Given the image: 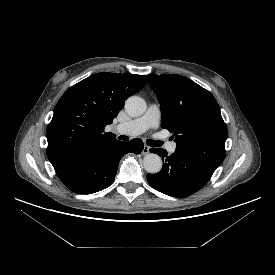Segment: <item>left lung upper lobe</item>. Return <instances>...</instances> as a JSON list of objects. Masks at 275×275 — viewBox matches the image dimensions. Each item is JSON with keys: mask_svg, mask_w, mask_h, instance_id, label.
Wrapping results in <instances>:
<instances>
[{"mask_svg": "<svg viewBox=\"0 0 275 275\" xmlns=\"http://www.w3.org/2000/svg\"><path fill=\"white\" fill-rule=\"evenodd\" d=\"M160 103L161 127L174 134L176 152L216 170L223 162L227 126L214 96L187 77L148 75Z\"/></svg>", "mask_w": 275, "mask_h": 275, "instance_id": "left-lung-upper-lobe-1", "label": "left lung upper lobe"}]
</instances>
